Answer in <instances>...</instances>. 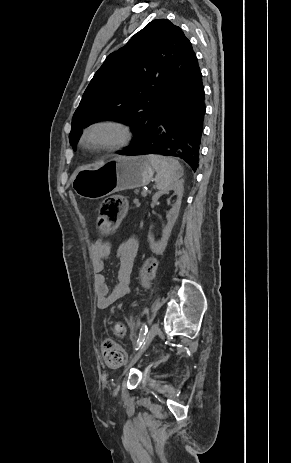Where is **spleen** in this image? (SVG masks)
I'll use <instances>...</instances> for the list:
<instances>
[{"mask_svg":"<svg viewBox=\"0 0 291 463\" xmlns=\"http://www.w3.org/2000/svg\"><path fill=\"white\" fill-rule=\"evenodd\" d=\"M152 167L156 170L155 177L156 188L164 190L177 182L183 175V169L180 163L171 158L159 155H148Z\"/></svg>","mask_w":291,"mask_h":463,"instance_id":"1","label":"spleen"}]
</instances>
